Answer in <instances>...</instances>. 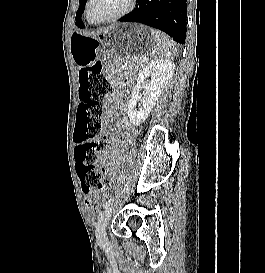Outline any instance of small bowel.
<instances>
[{"instance_id": "small-bowel-1", "label": "small bowel", "mask_w": 265, "mask_h": 273, "mask_svg": "<svg viewBox=\"0 0 265 273\" xmlns=\"http://www.w3.org/2000/svg\"><path fill=\"white\" fill-rule=\"evenodd\" d=\"M109 102L111 103L112 107L114 110L119 108V102H118V98L117 96L113 95L109 98ZM111 118H107L106 123L107 125L109 124ZM123 128H131V124L127 121V120H123L122 121V125ZM104 136L108 141L112 140V134L111 131L109 130L108 127H106L105 131H104ZM78 146V143L76 142V147ZM116 154V149L112 146L106 148L105 150H103L100 155H99V162L100 165L102 167L103 172L106 175H109L111 172V168H112V164H113V159L114 156ZM96 207H92L93 210H96Z\"/></svg>"}]
</instances>
